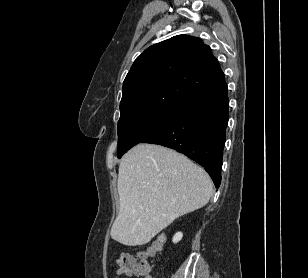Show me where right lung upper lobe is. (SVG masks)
Listing matches in <instances>:
<instances>
[{
    "instance_id": "obj_1",
    "label": "right lung upper lobe",
    "mask_w": 308,
    "mask_h": 278,
    "mask_svg": "<svg viewBox=\"0 0 308 278\" xmlns=\"http://www.w3.org/2000/svg\"><path fill=\"white\" fill-rule=\"evenodd\" d=\"M226 84L211 48L178 35L147 48L123 82L120 119L151 109H179Z\"/></svg>"
}]
</instances>
